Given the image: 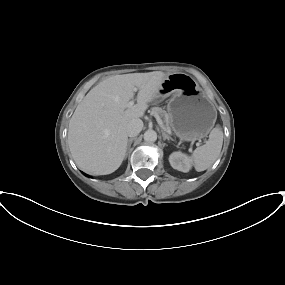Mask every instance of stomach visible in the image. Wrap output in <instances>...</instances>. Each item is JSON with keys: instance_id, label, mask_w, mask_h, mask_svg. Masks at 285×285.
<instances>
[{"instance_id": "stomach-1", "label": "stomach", "mask_w": 285, "mask_h": 285, "mask_svg": "<svg viewBox=\"0 0 285 285\" xmlns=\"http://www.w3.org/2000/svg\"><path fill=\"white\" fill-rule=\"evenodd\" d=\"M171 96L167 110L170 125L182 141L204 138L213 128L217 111L198 83L188 74H169L154 101Z\"/></svg>"}]
</instances>
